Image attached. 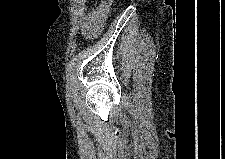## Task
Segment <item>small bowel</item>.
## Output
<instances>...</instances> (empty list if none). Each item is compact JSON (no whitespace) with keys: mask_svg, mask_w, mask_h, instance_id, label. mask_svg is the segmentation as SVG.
<instances>
[{"mask_svg":"<svg viewBox=\"0 0 225 159\" xmlns=\"http://www.w3.org/2000/svg\"><path fill=\"white\" fill-rule=\"evenodd\" d=\"M111 5L112 0H102L96 7L87 10L85 0L77 1L76 15L82 31L89 38L99 33Z\"/></svg>","mask_w":225,"mask_h":159,"instance_id":"c3829d8e","label":"small bowel"}]
</instances>
